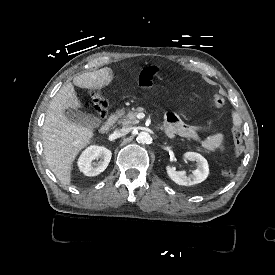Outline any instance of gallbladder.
<instances>
[{
    "instance_id": "obj_1",
    "label": "gallbladder",
    "mask_w": 275,
    "mask_h": 275,
    "mask_svg": "<svg viewBox=\"0 0 275 275\" xmlns=\"http://www.w3.org/2000/svg\"><path fill=\"white\" fill-rule=\"evenodd\" d=\"M69 121L87 128H96L101 124V120L94 115L86 114L78 109H67L64 112Z\"/></svg>"
}]
</instances>
